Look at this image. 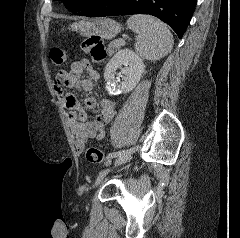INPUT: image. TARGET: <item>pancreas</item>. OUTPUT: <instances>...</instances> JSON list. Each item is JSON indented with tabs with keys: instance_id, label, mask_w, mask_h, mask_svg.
<instances>
[{
	"instance_id": "1",
	"label": "pancreas",
	"mask_w": 240,
	"mask_h": 238,
	"mask_svg": "<svg viewBox=\"0 0 240 238\" xmlns=\"http://www.w3.org/2000/svg\"><path fill=\"white\" fill-rule=\"evenodd\" d=\"M121 46H122V44L120 43V40H113L108 45L107 54L109 56L113 55L115 53V51L118 50Z\"/></svg>"
}]
</instances>
